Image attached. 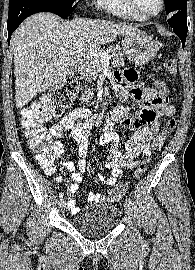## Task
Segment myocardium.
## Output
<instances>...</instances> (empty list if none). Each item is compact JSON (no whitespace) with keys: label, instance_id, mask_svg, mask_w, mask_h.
<instances>
[{"label":"myocardium","instance_id":"myocardium-1","mask_svg":"<svg viewBox=\"0 0 195 270\" xmlns=\"http://www.w3.org/2000/svg\"><path fill=\"white\" fill-rule=\"evenodd\" d=\"M127 4L129 6V8L135 13L137 14L139 17H141L144 20H148L154 17H157L164 9V5L165 2L164 0H159L160 5H159V9L157 10V12L153 13V14H143L141 13L138 8L136 7L135 1L134 0H126Z\"/></svg>","mask_w":195,"mask_h":270}]
</instances>
